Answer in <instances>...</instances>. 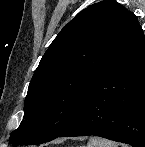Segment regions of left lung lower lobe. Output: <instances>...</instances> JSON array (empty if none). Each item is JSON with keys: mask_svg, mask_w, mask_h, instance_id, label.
I'll list each match as a JSON object with an SVG mask.
<instances>
[{"mask_svg": "<svg viewBox=\"0 0 145 147\" xmlns=\"http://www.w3.org/2000/svg\"><path fill=\"white\" fill-rule=\"evenodd\" d=\"M86 135L145 147V37L132 12L77 118L59 137Z\"/></svg>", "mask_w": 145, "mask_h": 147, "instance_id": "left-lung-lower-lobe-1", "label": "left lung lower lobe"}]
</instances>
